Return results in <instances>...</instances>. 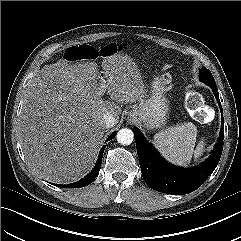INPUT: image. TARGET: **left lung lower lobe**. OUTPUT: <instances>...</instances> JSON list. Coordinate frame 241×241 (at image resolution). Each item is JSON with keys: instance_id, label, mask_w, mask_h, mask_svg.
I'll return each mask as SVG.
<instances>
[{"instance_id": "left-lung-lower-lobe-1", "label": "left lung lower lobe", "mask_w": 241, "mask_h": 241, "mask_svg": "<svg viewBox=\"0 0 241 241\" xmlns=\"http://www.w3.org/2000/svg\"><path fill=\"white\" fill-rule=\"evenodd\" d=\"M208 86L213 90L221 107L217 86L211 84ZM220 110L223 118L222 107ZM133 133L144 181L151 189L167 194L184 195L199 188L218 165L223 150V119L220 136L212 154L203 164L191 169H184L168 164L153 146L147 142L136 127L133 128Z\"/></svg>"}]
</instances>
